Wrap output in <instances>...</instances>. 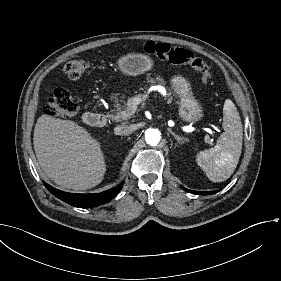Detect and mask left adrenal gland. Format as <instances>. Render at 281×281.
I'll return each mask as SVG.
<instances>
[{
  "label": "left adrenal gland",
  "mask_w": 281,
  "mask_h": 281,
  "mask_svg": "<svg viewBox=\"0 0 281 281\" xmlns=\"http://www.w3.org/2000/svg\"><path fill=\"white\" fill-rule=\"evenodd\" d=\"M168 131L171 135H173V137L177 140L178 143L183 144L185 141H188L187 138L180 137L175 132H173L171 128H168Z\"/></svg>",
  "instance_id": "a2214340"
}]
</instances>
